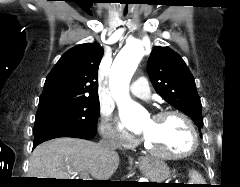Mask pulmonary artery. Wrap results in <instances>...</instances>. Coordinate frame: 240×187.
Returning a JSON list of instances; mask_svg holds the SVG:
<instances>
[{
    "mask_svg": "<svg viewBox=\"0 0 240 187\" xmlns=\"http://www.w3.org/2000/svg\"><path fill=\"white\" fill-rule=\"evenodd\" d=\"M130 92L135 97L143 100H148L151 96L148 81L145 78L135 80L130 86Z\"/></svg>",
    "mask_w": 240,
    "mask_h": 187,
    "instance_id": "pulmonary-artery-1",
    "label": "pulmonary artery"
}]
</instances>
